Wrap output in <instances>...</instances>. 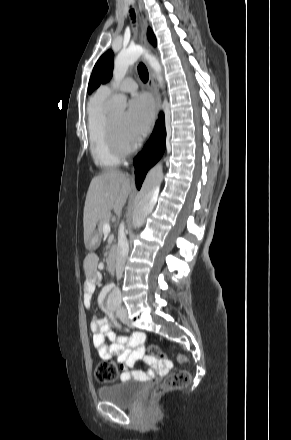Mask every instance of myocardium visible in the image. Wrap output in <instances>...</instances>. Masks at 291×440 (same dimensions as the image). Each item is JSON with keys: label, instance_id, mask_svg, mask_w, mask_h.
Listing matches in <instances>:
<instances>
[{"label": "myocardium", "instance_id": "obj_1", "mask_svg": "<svg viewBox=\"0 0 291 440\" xmlns=\"http://www.w3.org/2000/svg\"><path fill=\"white\" fill-rule=\"evenodd\" d=\"M106 134L109 145L112 151L119 157H125L136 148V144L133 142L127 143L119 139L116 130L113 126L110 116L106 118Z\"/></svg>", "mask_w": 291, "mask_h": 440}]
</instances>
